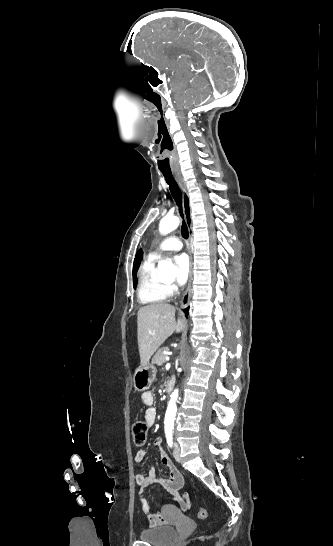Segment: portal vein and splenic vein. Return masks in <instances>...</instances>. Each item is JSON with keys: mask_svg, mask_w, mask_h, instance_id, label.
<instances>
[{"mask_svg": "<svg viewBox=\"0 0 333 546\" xmlns=\"http://www.w3.org/2000/svg\"><path fill=\"white\" fill-rule=\"evenodd\" d=\"M165 359L168 361V360H169V356H166Z\"/></svg>", "mask_w": 333, "mask_h": 546, "instance_id": "1", "label": "portal vein and splenic vein"}]
</instances>
